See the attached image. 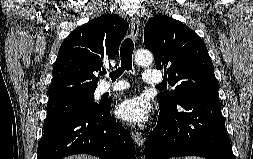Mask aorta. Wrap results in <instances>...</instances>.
Returning a JSON list of instances; mask_svg holds the SVG:
<instances>
[{"label":"aorta","instance_id":"obj_1","mask_svg":"<svg viewBox=\"0 0 253 159\" xmlns=\"http://www.w3.org/2000/svg\"><path fill=\"white\" fill-rule=\"evenodd\" d=\"M134 61L141 66H148L153 62V55L147 50H139L136 52Z\"/></svg>","mask_w":253,"mask_h":159}]
</instances>
